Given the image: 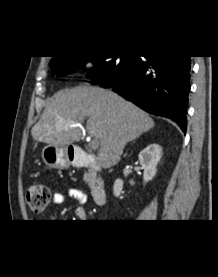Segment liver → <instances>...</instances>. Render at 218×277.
<instances>
[{
    "instance_id": "liver-1",
    "label": "liver",
    "mask_w": 218,
    "mask_h": 277,
    "mask_svg": "<svg viewBox=\"0 0 218 277\" xmlns=\"http://www.w3.org/2000/svg\"><path fill=\"white\" fill-rule=\"evenodd\" d=\"M87 117L86 130L100 145L98 163L116 165L126 144L154 127L151 117L116 93L100 87L78 86L61 90L46 106L31 135L51 146H66L81 139V130L69 127Z\"/></svg>"
}]
</instances>
